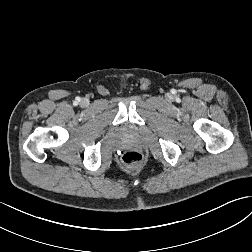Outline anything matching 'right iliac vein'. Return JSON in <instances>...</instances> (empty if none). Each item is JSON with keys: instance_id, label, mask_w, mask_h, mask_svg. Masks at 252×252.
Instances as JSON below:
<instances>
[{"instance_id": "right-iliac-vein-1", "label": "right iliac vein", "mask_w": 252, "mask_h": 252, "mask_svg": "<svg viewBox=\"0 0 252 252\" xmlns=\"http://www.w3.org/2000/svg\"><path fill=\"white\" fill-rule=\"evenodd\" d=\"M80 104H81V106L86 107L89 105V101H88V99L84 98L81 100Z\"/></svg>"}]
</instances>
